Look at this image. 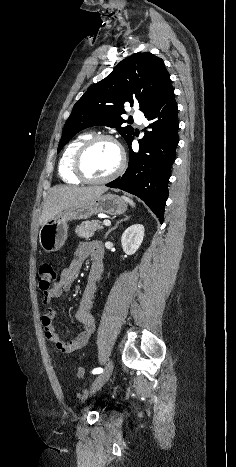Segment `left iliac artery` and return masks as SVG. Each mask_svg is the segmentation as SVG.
<instances>
[{
	"instance_id": "obj_1",
	"label": "left iliac artery",
	"mask_w": 236,
	"mask_h": 467,
	"mask_svg": "<svg viewBox=\"0 0 236 467\" xmlns=\"http://www.w3.org/2000/svg\"><path fill=\"white\" fill-rule=\"evenodd\" d=\"M101 372H103V369L100 368V367H99V368H95V369L92 371L93 374H99V373H101Z\"/></svg>"
}]
</instances>
